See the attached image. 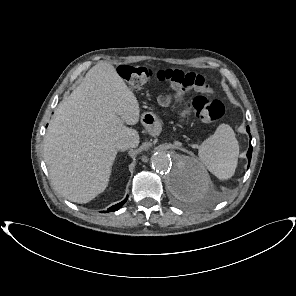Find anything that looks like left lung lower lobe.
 Returning <instances> with one entry per match:
<instances>
[{
	"instance_id": "obj_1",
	"label": "left lung lower lobe",
	"mask_w": 296,
	"mask_h": 296,
	"mask_svg": "<svg viewBox=\"0 0 296 296\" xmlns=\"http://www.w3.org/2000/svg\"><path fill=\"white\" fill-rule=\"evenodd\" d=\"M247 132H248V133L250 132L249 127H247ZM250 141H251V135H250ZM251 155H252V146H251V143H250V147H249V150H248V152H247V157H248V160H249L248 167H249V165H250ZM182 192H183V191H177V193H182Z\"/></svg>"
}]
</instances>
